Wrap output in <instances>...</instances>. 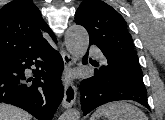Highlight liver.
<instances>
[{
  "instance_id": "6515ba94",
  "label": "liver",
  "mask_w": 165,
  "mask_h": 120,
  "mask_svg": "<svg viewBox=\"0 0 165 120\" xmlns=\"http://www.w3.org/2000/svg\"><path fill=\"white\" fill-rule=\"evenodd\" d=\"M0 120H31V115L21 108L0 103Z\"/></svg>"
}]
</instances>
